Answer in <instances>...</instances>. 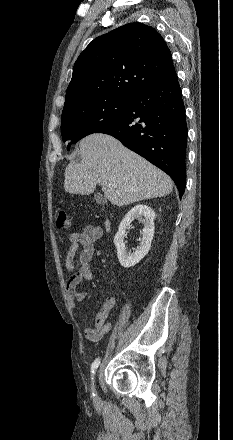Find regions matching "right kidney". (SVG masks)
<instances>
[{"instance_id":"obj_1","label":"right kidney","mask_w":233,"mask_h":440,"mask_svg":"<svg viewBox=\"0 0 233 440\" xmlns=\"http://www.w3.org/2000/svg\"><path fill=\"white\" fill-rule=\"evenodd\" d=\"M143 220L144 228L142 230V240L137 246L135 252L127 253L124 238L126 229L134 219ZM154 219L155 213L153 209L147 205L138 204L134 206L124 217L119 225L118 232L114 237V244L117 248V256L120 264L125 268L136 265L143 259L150 250L151 242L154 236Z\"/></svg>"}]
</instances>
